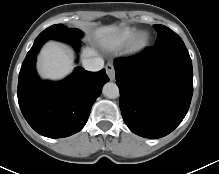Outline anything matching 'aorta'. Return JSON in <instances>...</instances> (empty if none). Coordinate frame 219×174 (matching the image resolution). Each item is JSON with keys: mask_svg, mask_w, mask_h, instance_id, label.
<instances>
[{"mask_svg": "<svg viewBox=\"0 0 219 174\" xmlns=\"http://www.w3.org/2000/svg\"><path fill=\"white\" fill-rule=\"evenodd\" d=\"M103 94L109 99L119 97V88L115 83L108 82L103 86Z\"/></svg>", "mask_w": 219, "mask_h": 174, "instance_id": "obj_1", "label": "aorta"}]
</instances>
